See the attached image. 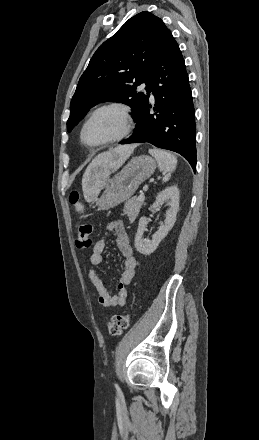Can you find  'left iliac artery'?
<instances>
[{"label": "left iliac artery", "instance_id": "1", "mask_svg": "<svg viewBox=\"0 0 259 440\" xmlns=\"http://www.w3.org/2000/svg\"><path fill=\"white\" fill-rule=\"evenodd\" d=\"M115 387H116V388H118V385H117V384H115Z\"/></svg>", "mask_w": 259, "mask_h": 440}]
</instances>
